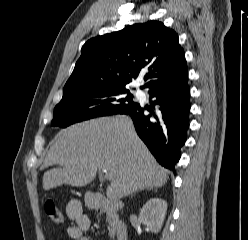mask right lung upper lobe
<instances>
[{
    "instance_id": "1",
    "label": "right lung upper lobe",
    "mask_w": 248,
    "mask_h": 240,
    "mask_svg": "<svg viewBox=\"0 0 248 240\" xmlns=\"http://www.w3.org/2000/svg\"><path fill=\"white\" fill-rule=\"evenodd\" d=\"M186 68L177 33L152 20L88 40L64 89L125 88L142 69L148 88Z\"/></svg>"
}]
</instances>
